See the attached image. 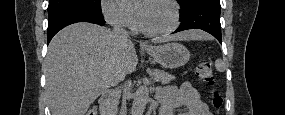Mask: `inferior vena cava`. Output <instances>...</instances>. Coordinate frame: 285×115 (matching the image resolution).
Segmentation results:
<instances>
[{
	"label": "inferior vena cava",
	"mask_w": 285,
	"mask_h": 115,
	"mask_svg": "<svg viewBox=\"0 0 285 115\" xmlns=\"http://www.w3.org/2000/svg\"><path fill=\"white\" fill-rule=\"evenodd\" d=\"M113 34H114V36L116 38H119V39H122V40H125V39L128 38V32L124 28L119 26V25L114 26ZM125 76H126L125 72H122V71L117 72V74H116V82L124 81ZM119 95H120V97H119V103L120 104H123L124 101L128 100V97H127L128 90H119ZM118 115H125V110L124 109H119L118 110Z\"/></svg>",
	"instance_id": "1"
}]
</instances>
